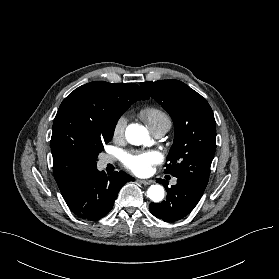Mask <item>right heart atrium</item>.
Returning a JSON list of instances; mask_svg holds the SVG:
<instances>
[{"instance_id":"1","label":"right heart atrium","mask_w":279,"mask_h":279,"mask_svg":"<svg viewBox=\"0 0 279 279\" xmlns=\"http://www.w3.org/2000/svg\"><path fill=\"white\" fill-rule=\"evenodd\" d=\"M127 126V118L124 115L119 116L113 125L112 134L115 139H119L124 136Z\"/></svg>"}]
</instances>
